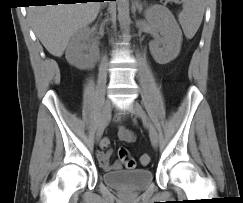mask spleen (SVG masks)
<instances>
[{"mask_svg": "<svg viewBox=\"0 0 243 203\" xmlns=\"http://www.w3.org/2000/svg\"><path fill=\"white\" fill-rule=\"evenodd\" d=\"M183 10L178 14L185 36L191 39L196 34L204 15V0H182Z\"/></svg>", "mask_w": 243, "mask_h": 203, "instance_id": "1", "label": "spleen"}]
</instances>
